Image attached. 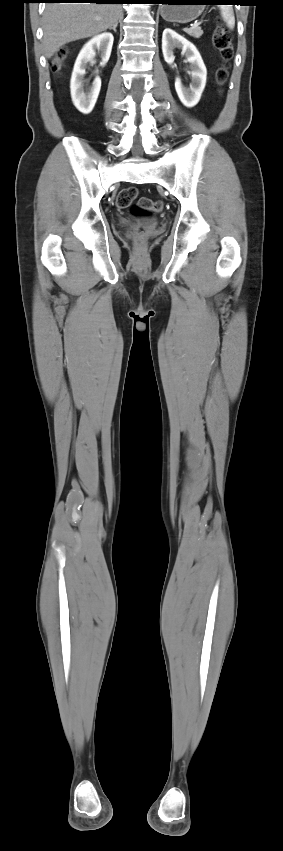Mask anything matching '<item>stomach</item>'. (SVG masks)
<instances>
[{"label":"stomach","mask_w":283,"mask_h":851,"mask_svg":"<svg viewBox=\"0 0 283 851\" xmlns=\"http://www.w3.org/2000/svg\"><path fill=\"white\" fill-rule=\"evenodd\" d=\"M206 0H169L160 7L162 18L169 22L188 23L197 19L204 10Z\"/></svg>","instance_id":"1"}]
</instances>
